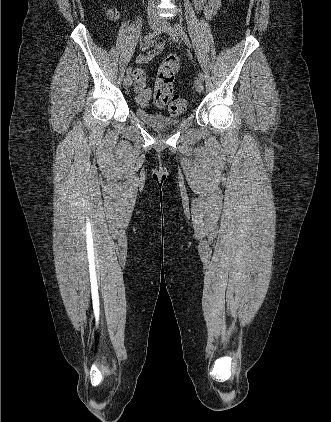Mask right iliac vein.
<instances>
[{
  "instance_id": "1",
  "label": "right iliac vein",
  "mask_w": 331,
  "mask_h": 422,
  "mask_svg": "<svg viewBox=\"0 0 331 422\" xmlns=\"http://www.w3.org/2000/svg\"><path fill=\"white\" fill-rule=\"evenodd\" d=\"M158 22H159V19L156 16L150 15L148 17V25L151 30H153L158 25ZM131 84H132L131 76L127 75L123 81V87L125 89H128L131 86Z\"/></svg>"
}]
</instances>
